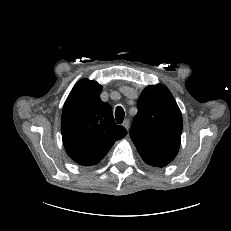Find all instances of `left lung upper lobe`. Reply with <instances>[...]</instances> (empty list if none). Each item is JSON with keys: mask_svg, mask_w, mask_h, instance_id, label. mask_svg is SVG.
Masks as SVG:
<instances>
[{"mask_svg": "<svg viewBox=\"0 0 231 231\" xmlns=\"http://www.w3.org/2000/svg\"><path fill=\"white\" fill-rule=\"evenodd\" d=\"M138 113L130 129V136L141 158L154 167L168 165L177 155L182 115L167 87L148 86L141 93Z\"/></svg>", "mask_w": 231, "mask_h": 231, "instance_id": "1", "label": "left lung upper lobe"}]
</instances>
